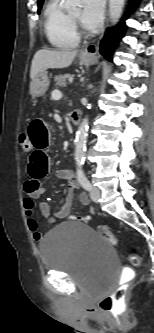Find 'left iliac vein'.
I'll return each instance as SVG.
<instances>
[{
  "mask_svg": "<svg viewBox=\"0 0 154 333\" xmlns=\"http://www.w3.org/2000/svg\"><path fill=\"white\" fill-rule=\"evenodd\" d=\"M90 197L94 202H98L101 197V191L98 188L92 187L90 190Z\"/></svg>",
  "mask_w": 154,
  "mask_h": 333,
  "instance_id": "4c4485c4",
  "label": "left iliac vein"
}]
</instances>
